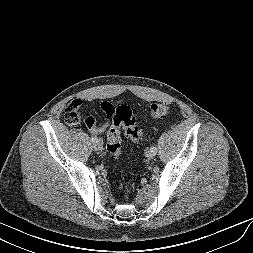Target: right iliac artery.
Segmentation results:
<instances>
[{
    "label": "right iliac artery",
    "instance_id": "1",
    "mask_svg": "<svg viewBox=\"0 0 253 253\" xmlns=\"http://www.w3.org/2000/svg\"><path fill=\"white\" fill-rule=\"evenodd\" d=\"M96 139H97L96 137H92L91 141L94 142V141H96Z\"/></svg>",
    "mask_w": 253,
    "mask_h": 253
}]
</instances>
